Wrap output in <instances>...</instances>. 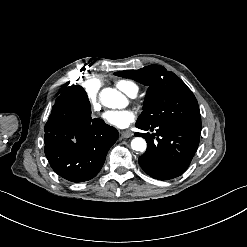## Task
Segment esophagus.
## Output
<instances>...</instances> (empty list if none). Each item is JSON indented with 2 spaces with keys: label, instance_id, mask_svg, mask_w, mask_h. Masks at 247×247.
Here are the masks:
<instances>
[{
  "label": "esophagus",
  "instance_id": "1",
  "mask_svg": "<svg viewBox=\"0 0 247 247\" xmlns=\"http://www.w3.org/2000/svg\"><path fill=\"white\" fill-rule=\"evenodd\" d=\"M121 136L123 138H130L133 136V132H131L130 130H123L121 131Z\"/></svg>",
  "mask_w": 247,
  "mask_h": 247
}]
</instances>
